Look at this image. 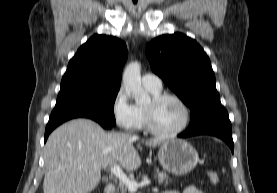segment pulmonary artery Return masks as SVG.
<instances>
[{
  "label": "pulmonary artery",
  "instance_id": "pulmonary-artery-1",
  "mask_svg": "<svg viewBox=\"0 0 277 193\" xmlns=\"http://www.w3.org/2000/svg\"><path fill=\"white\" fill-rule=\"evenodd\" d=\"M141 82L146 89H150L153 91H161L162 89V81L155 74H151V73L144 74L141 78Z\"/></svg>",
  "mask_w": 277,
  "mask_h": 193
}]
</instances>
